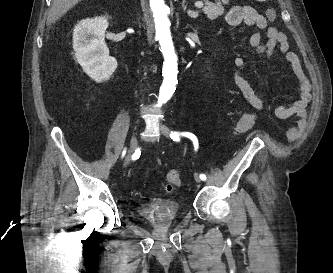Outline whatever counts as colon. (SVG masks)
<instances>
[{"label":"colon","mask_w":333,"mask_h":273,"mask_svg":"<svg viewBox=\"0 0 333 273\" xmlns=\"http://www.w3.org/2000/svg\"><path fill=\"white\" fill-rule=\"evenodd\" d=\"M276 10L268 9L266 11V17L269 21H274L276 19ZM256 122V116L252 113H243L235 127V131L239 134L249 131ZM166 185L165 190L171 192L175 190L181 183L180 175L177 171H169L166 175Z\"/></svg>","instance_id":"obj_1"}]
</instances>
